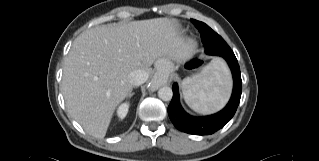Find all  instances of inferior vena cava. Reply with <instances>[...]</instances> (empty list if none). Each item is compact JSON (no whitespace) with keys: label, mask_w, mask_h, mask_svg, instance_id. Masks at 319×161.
Returning <instances> with one entry per match:
<instances>
[{"label":"inferior vena cava","mask_w":319,"mask_h":161,"mask_svg":"<svg viewBox=\"0 0 319 161\" xmlns=\"http://www.w3.org/2000/svg\"><path fill=\"white\" fill-rule=\"evenodd\" d=\"M130 83L133 86H139L146 82L148 79V73L143 70H135L129 74Z\"/></svg>","instance_id":"obj_1"}]
</instances>
